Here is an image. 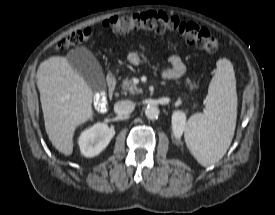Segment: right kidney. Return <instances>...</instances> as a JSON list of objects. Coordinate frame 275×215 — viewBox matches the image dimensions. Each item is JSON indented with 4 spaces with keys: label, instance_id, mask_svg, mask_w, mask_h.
Masks as SVG:
<instances>
[{
    "label": "right kidney",
    "instance_id": "obj_1",
    "mask_svg": "<svg viewBox=\"0 0 275 215\" xmlns=\"http://www.w3.org/2000/svg\"><path fill=\"white\" fill-rule=\"evenodd\" d=\"M115 130L105 123H96L83 131L78 139L81 153L85 157H94L103 151L113 136Z\"/></svg>",
    "mask_w": 275,
    "mask_h": 215
}]
</instances>
